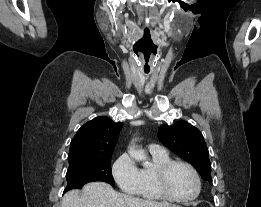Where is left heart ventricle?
I'll return each instance as SVG.
<instances>
[{"mask_svg":"<svg viewBox=\"0 0 261 207\" xmlns=\"http://www.w3.org/2000/svg\"><path fill=\"white\" fill-rule=\"evenodd\" d=\"M167 184L170 192L179 198L191 197L196 191L192 173L182 165H176L170 170Z\"/></svg>","mask_w":261,"mask_h":207,"instance_id":"left-heart-ventricle-1","label":"left heart ventricle"}]
</instances>
